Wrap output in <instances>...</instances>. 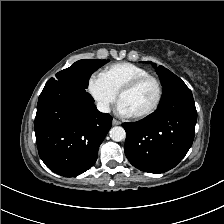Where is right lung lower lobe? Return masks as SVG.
<instances>
[{
    "label": "right lung lower lobe",
    "instance_id": "98d812e1",
    "mask_svg": "<svg viewBox=\"0 0 224 224\" xmlns=\"http://www.w3.org/2000/svg\"><path fill=\"white\" fill-rule=\"evenodd\" d=\"M91 95L64 84H47L37 104L38 153L53 172L77 176L96 162L112 117L96 109Z\"/></svg>",
    "mask_w": 224,
    "mask_h": 224
}]
</instances>
